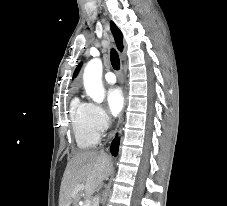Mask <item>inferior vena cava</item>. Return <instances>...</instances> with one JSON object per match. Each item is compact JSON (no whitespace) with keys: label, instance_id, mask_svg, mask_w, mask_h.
Here are the masks:
<instances>
[{"label":"inferior vena cava","instance_id":"obj_1","mask_svg":"<svg viewBox=\"0 0 227 206\" xmlns=\"http://www.w3.org/2000/svg\"><path fill=\"white\" fill-rule=\"evenodd\" d=\"M95 200H96V201H98V200H99V198H98V197H96V198H95Z\"/></svg>","mask_w":227,"mask_h":206}]
</instances>
